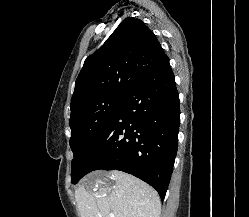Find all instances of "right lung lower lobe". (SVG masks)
<instances>
[{"mask_svg":"<svg viewBox=\"0 0 249 217\" xmlns=\"http://www.w3.org/2000/svg\"><path fill=\"white\" fill-rule=\"evenodd\" d=\"M179 97L165 54L125 96L86 153L79 171L120 170L154 187L164 200L177 152Z\"/></svg>","mask_w":249,"mask_h":217,"instance_id":"right-lung-lower-lobe-1","label":"right lung lower lobe"}]
</instances>
